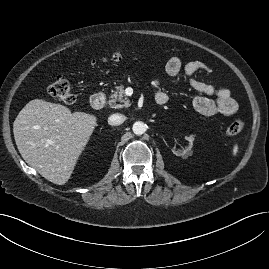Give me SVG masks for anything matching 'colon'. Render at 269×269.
I'll return each mask as SVG.
<instances>
[{
  "mask_svg": "<svg viewBox=\"0 0 269 269\" xmlns=\"http://www.w3.org/2000/svg\"><path fill=\"white\" fill-rule=\"evenodd\" d=\"M123 51L115 50L110 55L103 57V60H119L123 56ZM48 92L50 96L62 104H73L76 100V95L68 80L63 77H57L49 86ZM246 127L244 121L239 118L233 119L226 127L224 134L226 136L237 135L242 132Z\"/></svg>",
  "mask_w": 269,
  "mask_h": 269,
  "instance_id": "colon-1",
  "label": "colon"
}]
</instances>
